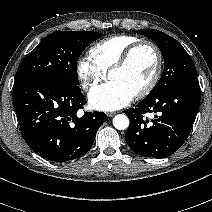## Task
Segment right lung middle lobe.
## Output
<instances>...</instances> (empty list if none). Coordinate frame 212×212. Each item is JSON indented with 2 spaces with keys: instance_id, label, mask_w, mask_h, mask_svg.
<instances>
[{
  "instance_id": "right-lung-middle-lobe-1",
  "label": "right lung middle lobe",
  "mask_w": 212,
  "mask_h": 212,
  "mask_svg": "<svg viewBox=\"0 0 212 212\" xmlns=\"http://www.w3.org/2000/svg\"><path fill=\"white\" fill-rule=\"evenodd\" d=\"M101 36L92 31H58L46 36L22 61L15 82L51 78L80 89L77 60L82 51Z\"/></svg>"
}]
</instances>
